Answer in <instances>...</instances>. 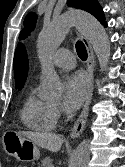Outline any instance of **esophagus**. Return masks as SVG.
<instances>
[{"label": "esophagus", "mask_w": 125, "mask_h": 167, "mask_svg": "<svg viewBox=\"0 0 125 167\" xmlns=\"http://www.w3.org/2000/svg\"><path fill=\"white\" fill-rule=\"evenodd\" d=\"M81 39L87 49L88 53V59H87V72H88V77H89V87L87 91V96H86V101L84 104V107L82 109V112L77 119L74 127L72 128L70 132V137L71 138H77L82 131L84 130L87 118H88V113H89V106L91 103L92 95H93V89H94V66H95V58H94V52L92 49V46L90 42L87 40L86 37L81 35Z\"/></svg>", "instance_id": "obj_1"}]
</instances>
